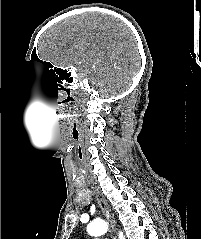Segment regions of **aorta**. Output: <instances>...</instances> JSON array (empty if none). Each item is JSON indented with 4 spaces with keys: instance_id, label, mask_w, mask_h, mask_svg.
<instances>
[{
    "instance_id": "obj_1",
    "label": "aorta",
    "mask_w": 201,
    "mask_h": 239,
    "mask_svg": "<svg viewBox=\"0 0 201 239\" xmlns=\"http://www.w3.org/2000/svg\"><path fill=\"white\" fill-rule=\"evenodd\" d=\"M108 231V224L103 220H96L88 224L87 232L91 236H102ZM119 239H124L123 234L120 233Z\"/></svg>"
}]
</instances>
